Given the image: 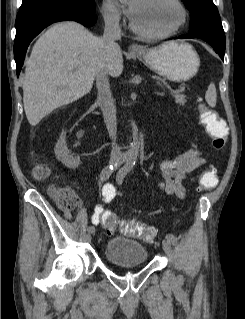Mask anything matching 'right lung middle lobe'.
Wrapping results in <instances>:
<instances>
[{
  "instance_id": "right-lung-middle-lobe-1",
  "label": "right lung middle lobe",
  "mask_w": 245,
  "mask_h": 319,
  "mask_svg": "<svg viewBox=\"0 0 245 319\" xmlns=\"http://www.w3.org/2000/svg\"><path fill=\"white\" fill-rule=\"evenodd\" d=\"M64 5L78 9L91 8L94 0H23L19 12H26L42 7Z\"/></svg>"
}]
</instances>
